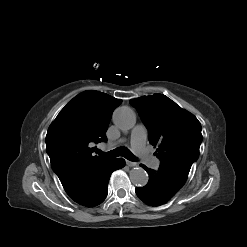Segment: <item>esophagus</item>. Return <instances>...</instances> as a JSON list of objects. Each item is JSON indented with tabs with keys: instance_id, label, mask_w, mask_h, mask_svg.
Segmentation results:
<instances>
[{
	"instance_id": "obj_1",
	"label": "esophagus",
	"mask_w": 247,
	"mask_h": 247,
	"mask_svg": "<svg viewBox=\"0 0 247 247\" xmlns=\"http://www.w3.org/2000/svg\"><path fill=\"white\" fill-rule=\"evenodd\" d=\"M126 164H127V166H129V167H134V166L137 165L136 162H133V161H130V160H126Z\"/></svg>"
}]
</instances>
